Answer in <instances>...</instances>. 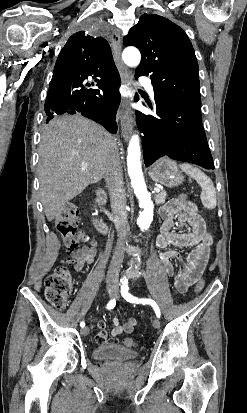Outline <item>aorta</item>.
Wrapping results in <instances>:
<instances>
[{
    "instance_id": "aorta-1",
    "label": "aorta",
    "mask_w": 247,
    "mask_h": 413,
    "mask_svg": "<svg viewBox=\"0 0 247 413\" xmlns=\"http://www.w3.org/2000/svg\"><path fill=\"white\" fill-rule=\"evenodd\" d=\"M124 63L129 67H136L141 60V54L135 47H127L122 53ZM127 167L128 174L131 179V185L134 193L139 201L140 207L143 209L137 219L138 225L142 229H147L153 220L154 204L151 200V194L148 192L142 172L141 166V151L139 136L133 135L128 145Z\"/></svg>"
}]
</instances>
